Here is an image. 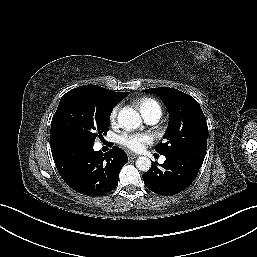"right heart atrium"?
<instances>
[{
  "mask_svg": "<svg viewBox=\"0 0 257 257\" xmlns=\"http://www.w3.org/2000/svg\"><path fill=\"white\" fill-rule=\"evenodd\" d=\"M119 109H120V107L117 105L110 112L109 120L112 124L116 123V121H117Z\"/></svg>",
  "mask_w": 257,
  "mask_h": 257,
  "instance_id": "1",
  "label": "right heart atrium"
}]
</instances>
